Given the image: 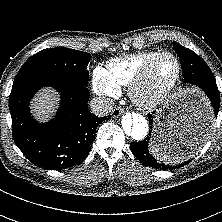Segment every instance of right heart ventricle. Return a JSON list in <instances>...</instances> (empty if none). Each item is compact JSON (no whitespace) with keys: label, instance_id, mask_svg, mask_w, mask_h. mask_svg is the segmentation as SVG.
<instances>
[{"label":"right heart ventricle","instance_id":"e07e8e85","mask_svg":"<svg viewBox=\"0 0 222 222\" xmlns=\"http://www.w3.org/2000/svg\"><path fill=\"white\" fill-rule=\"evenodd\" d=\"M160 51H147L111 60L106 70L110 81L120 90L128 88L143 67Z\"/></svg>","mask_w":222,"mask_h":222}]
</instances>
